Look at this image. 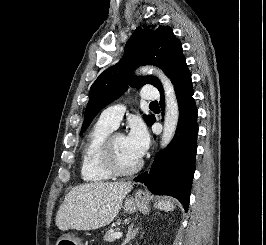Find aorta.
<instances>
[{
    "label": "aorta",
    "mask_w": 266,
    "mask_h": 245,
    "mask_svg": "<svg viewBox=\"0 0 266 245\" xmlns=\"http://www.w3.org/2000/svg\"><path fill=\"white\" fill-rule=\"evenodd\" d=\"M141 72H144V74H156L163 84L165 92V116L161 147L165 149V147L171 143L175 135L179 120V104L175 94L174 84H172L170 78L164 74L163 70L155 68V66H143Z\"/></svg>",
    "instance_id": "762f6f07"
}]
</instances>
